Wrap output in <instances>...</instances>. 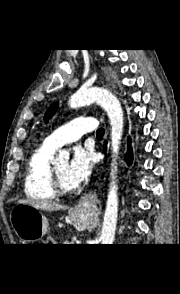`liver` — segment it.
Masks as SVG:
<instances>
[{"instance_id": "obj_1", "label": "liver", "mask_w": 180, "mask_h": 294, "mask_svg": "<svg viewBox=\"0 0 180 294\" xmlns=\"http://www.w3.org/2000/svg\"><path fill=\"white\" fill-rule=\"evenodd\" d=\"M19 203L22 204H29L31 206H33L34 208H36L37 210H43V211H58V210H66L68 208V206L66 205H61L59 203H55V202H49V201H34L31 199H23L20 200Z\"/></svg>"}]
</instances>
